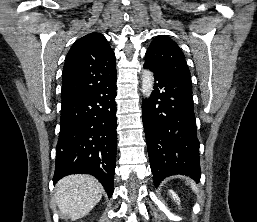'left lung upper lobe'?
<instances>
[{"label": "left lung upper lobe", "mask_w": 257, "mask_h": 222, "mask_svg": "<svg viewBox=\"0 0 257 222\" xmlns=\"http://www.w3.org/2000/svg\"><path fill=\"white\" fill-rule=\"evenodd\" d=\"M145 61L191 83L190 71L179 46L169 37L160 35L150 44Z\"/></svg>", "instance_id": "left-lung-upper-lobe-1"}]
</instances>
